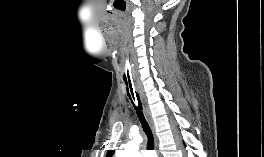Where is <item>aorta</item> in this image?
Here are the masks:
<instances>
[{"label": "aorta", "instance_id": "obj_1", "mask_svg": "<svg viewBox=\"0 0 264 157\" xmlns=\"http://www.w3.org/2000/svg\"><path fill=\"white\" fill-rule=\"evenodd\" d=\"M139 143V138L129 142L124 150H120L116 153L117 157H138Z\"/></svg>", "mask_w": 264, "mask_h": 157}]
</instances>
